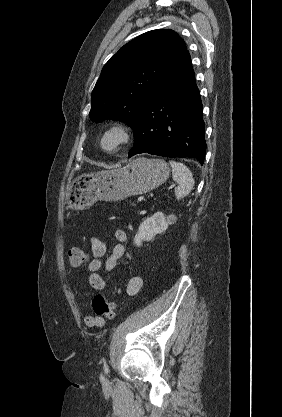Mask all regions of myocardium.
Masks as SVG:
<instances>
[{"mask_svg": "<svg viewBox=\"0 0 282 417\" xmlns=\"http://www.w3.org/2000/svg\"><path fill=\"white\" fill-rule=\"evenodd\" d=\"M109 137L115 138L112 148L117 150L128 141L129 134L124 125H115L104 133L103 142L105 143V140Z\"/></svg>", "mask_w": 282, "mask_h": 417, "instance_id": "obj_1", "label": "myocardium"}]
</instances>
